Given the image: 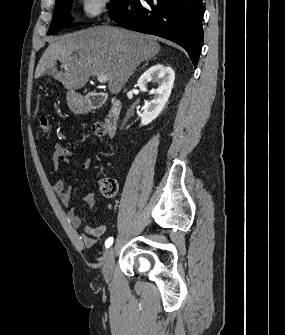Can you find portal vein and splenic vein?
<instances>
[{"label": "portal vein and splenic vein", "mask_w": 285, "mask_h": 335, "mask_svg": "<svg viewBox=\"0 0 285 335\" xmlns=\"http://www.w3.org/2000/svg\"><path fill=\"white\" fill-rule=\"evenodd\" d=\"M97 80L100 84H106V82H108V76H105V74H99V76H97Z\"/></svg>", "instance_id": "18ae733b"}]
</instances>
